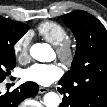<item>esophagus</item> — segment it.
<instances>
[{
  "mask_svg": "<svg viewBox=\"0 0 107 107\" xmlns=\"http://www.w3.org/2000/svg\"><path fill=\"white\" fill-rule=\"evenodd\" d=\"M47 91H48V89L44 88V87H39V90H38L39 94H43V93H45Z\"/></svg>",
  "mask_w": 107,
  "mask_h": 107,
  "instance_id": "34e87169",
  "label": "esophagus"
}]
</instances>
